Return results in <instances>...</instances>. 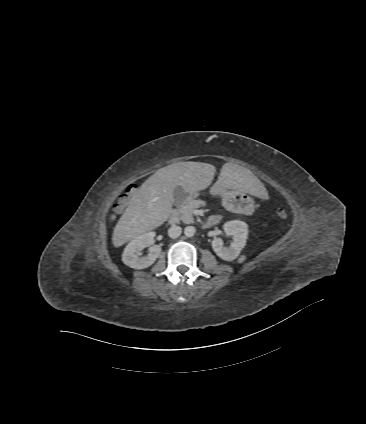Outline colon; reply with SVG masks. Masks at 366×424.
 <instances>
[{"mask_svg":"<svg viewBox=\"0 0 366 424\" xmlns=\"http://www.w3.org/2000/svg\"><path fill=\"white\" fill-rule=\"evenodd\" d=\"M134 191H135V188L134 187H130L127 190V193L119 199V201L117 203V206H116V208L118 210L123 209L126 206L129 196H131L134 193ZM278 215L281 218H285L287 216V213L283 209H280L278 211Z\"/></svg>","mask_w":366,"mask_h":424,"instance_id":"colon-1","label":"colon"}]
</instances>
